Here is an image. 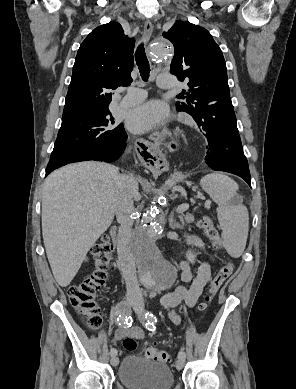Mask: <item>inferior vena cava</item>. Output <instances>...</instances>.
I'll return each mask as SVG.
<instances>
[{"instance_id":"602c4592","label":"inferior vena cava","mask_w":296,"mask_h":389,"mask_svg":"<svg viewBox=\"0 0 296 389\" xmlns=\"http://www.w3.org/2000/svg\"><path fill=\"white\" fill-rule=\"evenodd\" d=\"M133 188V177L119 174L115 191V212L117 221L120 223L118 242L123 250L119 253V260L126 282L127 298L132 301H142L135 263L130 254V241L134 222L132 218L134 212Z\"/></svg>"}]
</instances>
